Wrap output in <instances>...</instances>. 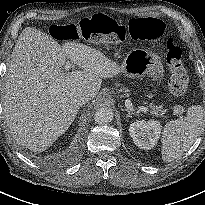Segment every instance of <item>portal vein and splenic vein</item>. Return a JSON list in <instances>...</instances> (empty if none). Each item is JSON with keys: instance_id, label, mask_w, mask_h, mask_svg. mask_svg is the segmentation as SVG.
<instances>
[{"instance_id": "portal-vein-and-splenic-vein-1", "label": "portal vein and splenic vein", "mask_w": 205, "mask_h": 205, "mask_svg": "<svg viewBox=\"0 0 205 205\" xmlns=\"http://www.w3.org/2000/svg\"><path fill=\"white\" fill-rule=\"evenodd\" d=\"M71 67H72V64H71L69 61H67V62H66V65H65V70H66V72L69 71V69H70ZM139 111L146 113V112L149 111V109L146 108V107H144V106H140V107H139Z\"/></svg>"}]
</instances>
